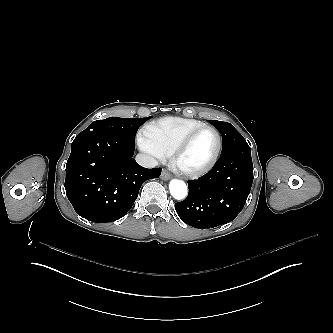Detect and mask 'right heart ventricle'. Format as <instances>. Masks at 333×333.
I'll use <instances>...</instances> for the list:
<instances>
[{
	"instance_id": "right-heart-ventricle-1",
	"label": "right heart ventricle",
	"mask_w": 333,
	"mask_h": 333,
	"mask_svg": "<svg viewBox=\"0 0 333 333\" xmlns=\"http://www.w3.org/2000/svg\"><path fill=\"white\" fill-rule=\"evenodd\" d=\"M205 125L201 120L169 117L145 124L139 131L140 146L168 157L180 139L194 128Z\"/></svg>"
}]
</instances>
